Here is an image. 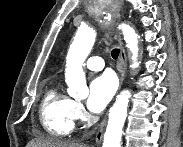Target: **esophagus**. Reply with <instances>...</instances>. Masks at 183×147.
<instances>
[{
    "mask_svg": "<svg viewBox=\"0 0 183 147\" xmlns=\"http://www.w3.org/2000/svg\"><path fill=\"white\" fill-rule=\"evenodd\" d=\"M120 46H121V51H120V58H119V74H120L119 80H120V86H121L125 77L126 64H127L126 52H125L122 39H120ZM105 125H106V118L101 122L100 127L96 133V137H95L96 144H100L102 141Z\"/></svg>",
    "mask_w": 183,
    "mask_h": 147,
    "instance_id": "esophagus-1",
    "label": "esophagus"
}]
</instances>
